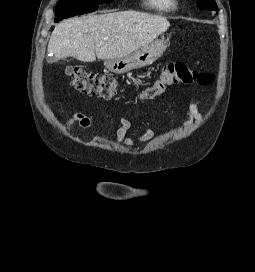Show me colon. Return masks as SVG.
Returning a JSON list of instances; mask_svg holds the SVG:
<instances>
[{
    "mask_svg": "<svg viewBox=\"0 0 255 272\" xmlns=\"http://www.w3.org/2000/svg\"><path fill=\"white\" fill-rule=\"evenodd\" d=\"M74 88L84 94L96 95L103 99L115 96L116 76L111 73H97L84 68H71L68 70ZM214 75L191 69L184 63H169L164 65L155 81L141 93V99L152 100L175 85L212 83Z\"/></svg>",
    "mask_w": 255,
    "mask_h": 272,
    "instance_id": "colon-1",
    "label": "colon"
}]
</instances>
